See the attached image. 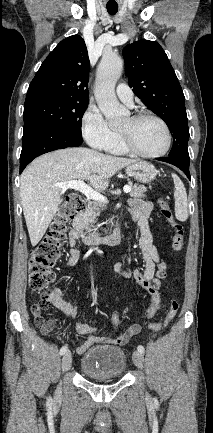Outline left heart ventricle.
I'll list each match as a JSON object with an SVG mask.
<instances>
[{"label":"left heart ventricle","mask_w":213,"mask_h":433,"mask_svg":"<svg viewBox=\"0 0 213 433\" xmlns=\"http://www.w3.org/2000/svg\"><path fill=\"white\" fill-rule=\"evenodd\" d=\"M119 132L126 134L134 146L145 153H158L166 145V134L162 126L151 119L134 122L128 118Z\"/></svg>","instance_id":"obj_1"}]
</instances>
